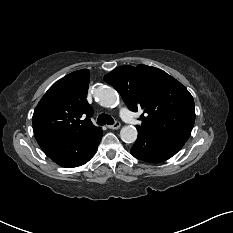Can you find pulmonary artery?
Segmentation results:
<instances>
[{"label":"pulmonary artery","mask_w":233,"mask_h":233,"mask_svg":"<svg viewBox=\"0 0 233 233\" xmlns=\"http://www.w3.org/2000/svg\"><path fill=\"white\" fill-rule=\"evenodd\" d=\"M121 117L130 124H136L137 121L132 117L130 111L127 108H122L120 111Z\"/></svg>","instance_id":"pulmonary-artery-1"}]
</instances>
